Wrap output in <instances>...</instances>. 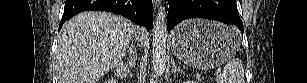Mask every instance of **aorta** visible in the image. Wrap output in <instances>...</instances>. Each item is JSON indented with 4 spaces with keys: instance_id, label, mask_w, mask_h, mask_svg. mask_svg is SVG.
Returning a JSON list of instances; mask_svg holds the SVG:
<instances>
[{
    "instance_id": "762f6f07",
    "label": "aorta",
    "mask_w": 307,
    "mask_h": 83,
    "mask_svg": "<svg viewBox=\"0 0 307 83\" xmlns=\"http://www.w3.org/2000/svg\"><path fill=\"white\" fill-rule=\"evenodd\" d=\"M167 13L161 6L154 24L152 42V64L156 75L160 76L166 69Z\"/></svg>"
}]
</instances>
